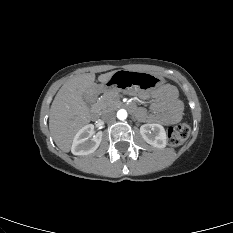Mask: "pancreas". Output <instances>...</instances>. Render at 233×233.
Returning a JSON list of instances; mask_svg holds the SVG:
<instances>
[{
	"label": "pancreas",
	"instance_id": "obj_1",
	"mask_svg": "<svg viewBox=\"0 0 233 233\" xmlns=\"http://www.w3.org/2000/svg\"><path fill=\"white\" fill-rule=\"evenodd\" d=\"M119 99L120 95L117 92H107L98 100L97 105L102 112L113 110L118 108L120 104Z\"/></svg>",
	"mask_w": 233,
	"mask_h": 233
}]
</instances>
